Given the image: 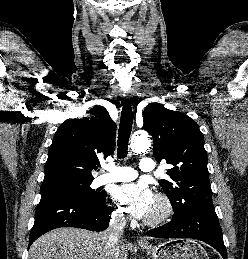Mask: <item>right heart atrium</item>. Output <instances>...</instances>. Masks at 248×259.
I'll return each instance as SVG.
<instances>
[{"instance_id": "right-heart-atrium-1", "label": "right heart atrium", "mask_w": 248, "mask_h": 259, "mask_svg": "<svg viewBox=\"0 0 248 259\" xmlns=\"http://www.w3.org/2000/svg\"><path fill=\"white\" fill-rule=\"evenodd\" d=\"M113 217L116 220L122 221L124 220V211L121 207H116L113 211Z\"/></svg>"}]
</instances>
